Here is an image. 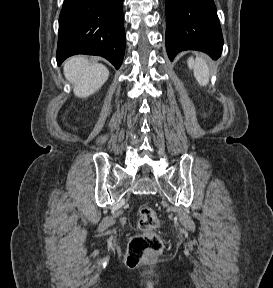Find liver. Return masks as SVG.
I'll list each match as a JSON object with an SVG mask.
<instances>
[{
    "mask_svg": "<svg viewBox=\"0 0 273 288\" xmlns=\"http://www.w3.org/2000/svg\"><path fill=\"white\" fill-rule=\"evenodd\" d=\"M64 75L72 83L74 94L87 98L100 89L109 77L108 69L100 64H90L88 59L76 56L64 63Z\"/></svg>",
    "mask_w": 273,
    "mask_h": 288,
    "instance_id": "liver-1",
    "label": "liver"
}]
</instances>
